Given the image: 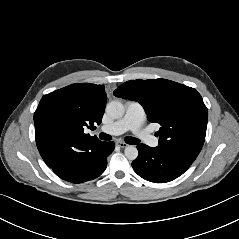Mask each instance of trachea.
Here are the masks:
<instances>
[{
    "label": "trachea",
    "instance_id": "1",
    "mask_svg": "<svg viewBox=\"0 0 239 239\" xmlns=\"http://www.w3.org/2000/svg\"><path fill=\"white\" fill-rule=\"evenodd\" d=\"M99 138L101 140H105V141H109L112 139V137L106 133H100L99 134ZM126 143L128 144H131V145H135V144H138L139 143V140L137 138H134V137H127L125 139Z\"/></svg>",
    "mask_w": 239,
    "mask_h": 239
}]
</instances>
